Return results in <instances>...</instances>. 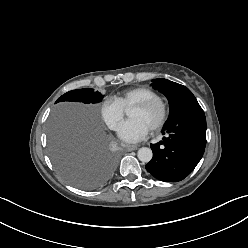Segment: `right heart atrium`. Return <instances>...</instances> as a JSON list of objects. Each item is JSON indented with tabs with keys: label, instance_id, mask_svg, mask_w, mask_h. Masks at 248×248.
Segmentation results:
<instances>
[{
	"label": "right heart atrium",
	"instance_id": "1",
	"mask_svg": "<svg viewBox=\"0 0 248 248\" xmlns=\"http://www.w3.org/2000/svg\"><path fill=\"white\" fill-rule=\"evenodd\" d=\"M103 122L111 130H117L123 120L124 110L113 99H105L99 105Z\"/></svg>",
	"mask_w": 248,
	"mask_h": 248
}]
</instances>
